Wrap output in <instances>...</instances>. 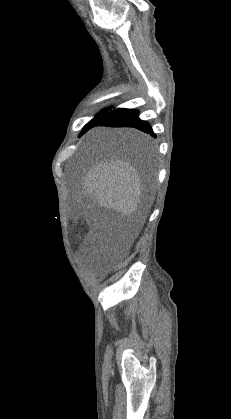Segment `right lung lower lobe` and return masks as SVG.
Instances as JSON below:
<instances>
[{"label":"right lung lower lobe","instance_id":"1","mask_svg":"<svg viewBox=\"0 0 231 419\" xmlns=\"http://www.w3.org/2000/svg\"><path fill=\"white\" fill-rule=\"evenodd\" d=\"M139 112L134 109L118 108L101 116L92 126L133 127L156 137L148 122L138 117Z\"/></svg>","mask_w":231,"mask_h":419}]
</instances>
